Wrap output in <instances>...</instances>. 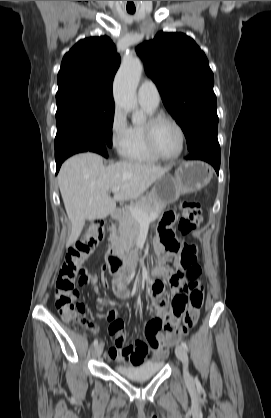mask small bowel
<instances>
[{"label": "small bowel", "instance_id": "small-bowel-1", "mask_svg": "<svg viewBox=\"0 0 271 418\" xmlns=\"http://www.w3.org/2000/svg\"><path fill=\"white\" fill-rule=\"evenodd\" d=\"M156 246L158 249L162 247L159 242H156ZM177 262V255L173 252L168 253L165 258L156 257L151 262L153 274L160 279L166 280V285L170 286L173 298L188 293L193 287L199 286L198 279L190 281L177 277V274L169 264H177ZM87 283L92 284L94 290L98 292L97 278L95 276H88L87 282L80 284L84 285ZM102 284L104 287H107L105 279H102ZM115 293L121 299H131L130 292L123 284L115 287ZM150 294L152 297L151 310L153 318L144 326L146 341L137 340L133 345L124 346L125 332L121 316L114 311L107 315V319L111 322L109 332L114 338V345L105 354L107 360L121 364L139 365L147 361H159L166 356V344L173 334L168 331L163 332V325L167 320H171L177 326L182 312L176 310L173 304H168L164 297V285L161 280L150 282Z\"/></svg>", "mask_w": 271, "mask_h": 418}]
</instances>
